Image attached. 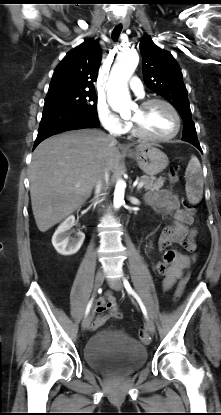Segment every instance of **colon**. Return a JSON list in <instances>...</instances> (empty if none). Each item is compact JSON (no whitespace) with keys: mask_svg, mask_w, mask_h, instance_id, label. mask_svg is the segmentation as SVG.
Masks as SVG:
<instances>
[{"mask_svg":"<svg viewBox=\"0 0 221 415\" xmlns=\"http://www.w3.org/2000/svg\"><path fill=\"white\" fill-rule=\"evenodd\" d=\"M169 176L171 178V187L172 188H177L178 185L180 184V179L178 178L177 172L174 168L170 169ZM185 200H186V197L182 196L181 197V202H183L184 210H187V212L191 215H195L196 214V207L193 204H190ZM187 280H188L187 276L180 280L178 288H177V290L175 292V295H174V301H178L180 299V297L182 296L184 288H185L186 283H187ZM138 335H139V338L142 341H148L149 340V335H148V332H147L145 327H141L139 329Z\"/></svg>","mask_w":221,"mask_h":415,"instance_id":"1","label":"colon"}]
</instances>
